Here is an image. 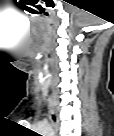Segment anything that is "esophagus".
Masks as SVG:
<instances>
[{
	"label": "esophagus",
	"mask_w": 114,
	"mask_h": 136,
	"mask_svg": "<svg viewBox=\"0 0 114 136\" xmlns=\"http://www.w3.org/2000/svg\"><path fill=\"white\" fill-rule=\"evenodd\" d=\"M49 118H50V121H51V124H52L54 131L57 132V130L59 128V119H58V114H57V110H56V107H55L54 95H52L51 99H50Z\"/></svg>",
	"instance_id": "34e87169"
}]
</instances>
